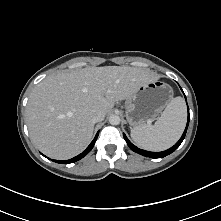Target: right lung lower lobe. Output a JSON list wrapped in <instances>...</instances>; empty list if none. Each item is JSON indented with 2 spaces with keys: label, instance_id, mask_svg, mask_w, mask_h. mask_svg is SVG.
I'll list each match as a JSON object with an SVG mask.
<instances>
[{
  "label": "right lung lower lobe",
  "instance_id": "1",
  "mask_svg": "<svg viewBox=\"0 0 221 221\" xmlns=\"http://www.w3.org/2000/svg\"><path fill=\"white\" fill-rule=\"evenodd\" d=\"M97 137H98V133L96 134L95 138L90 143V145L81 154L75 156L74 158L69 159V160H65V161H60V160H52V161L57 162V163H62V164H70V163H73V162H76V161L82 159L84 156H86L92 150V148L94 147V144L97 140Z\"/></svg>",
  "mask_w": 221,
  "mask_h": 221
}]
</instances>
